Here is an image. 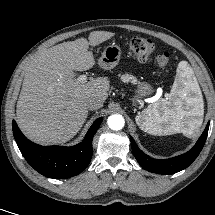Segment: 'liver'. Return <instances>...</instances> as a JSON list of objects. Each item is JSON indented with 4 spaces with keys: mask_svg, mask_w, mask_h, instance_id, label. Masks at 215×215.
<instances>
[{
    "mask_svg": "<svg viewBox=\"0 0 215 215\" xmlns=\"http://www.w3.org/2000/svg\"><path fill=\"white\" fill-rule=\"evenodd\" d=\"M114 35L93 31L88 40L63 42L38 51L30 59L16 110L17 123L30 140L43 145L70 140L88 116L87 99H107L108 78L80 83L74 71L92 68L95 59L89 46H97Z\"/></svg>",
    "mask_w": 215,
    "mask_h": 215,
    "instance_id": "6515ba94",
    "label": "liver"
}]
</instances>
